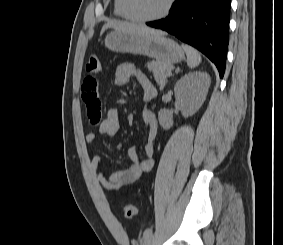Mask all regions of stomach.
I'll return each mask as SVG.
<instances>
[{"label": "stomach", "mask_w": 283, "mask_h": 245, "mask_svg": "<svg viewBox=\"0 0 283 245\" xmlns=\"http://www.w3.org/2000/svg\"><path fill=\"white\" fill-rule=\"evenodd\" d=\"M105 46L115 52L145 55L167 64L184 59L183 49L161 35L113 31L105 38Z\"/></svg>", "instance_id": "0dacf381"}]
</instances>
